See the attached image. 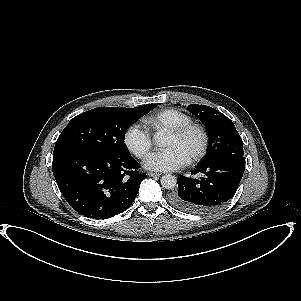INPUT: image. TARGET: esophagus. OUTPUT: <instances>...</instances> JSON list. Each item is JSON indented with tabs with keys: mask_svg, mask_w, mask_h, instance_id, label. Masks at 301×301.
<instances>
[{
	"mask_svg": "<svg viewBox=\"0 0 301 301\" xmlns=\"http://www.w3.org/2000/svg\"><path fill=\"white\" fill-rule=\"evenodd\" d=\"M147 175L149 177H155V176H160L161 174L160 173H154V172H148Z\"/></svg>",
	"mask_w": 301,
	"mask_h": 301,
	"instance_id": "1",
	"label": "esophagus"
}]
</instances>
